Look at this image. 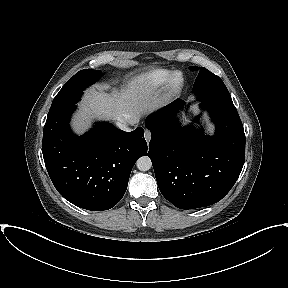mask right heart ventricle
<instances>
[{"mask_svg": "<svg viewBox=\"0 0 288 288\" xmlns=\"http://www.w3.org/2000/svg\"><path fill=\"white\" fill-rule=\"evenodd\" d=\"M171 75V72L166 69H154L151 72L141 76L137 83L140 85H151L158 87L163 85Z\"/></svg>", "mask_w": 288, "mask_h": 288, "instance_id": "obj_1", "label": "right heart ventricle"}]
</instances>
